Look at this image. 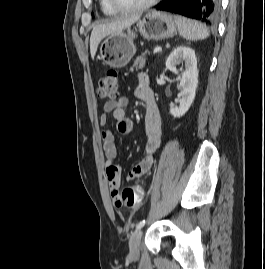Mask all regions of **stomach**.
<instances>
[{"label":"stomach","instance_id":"stomach-1","mask_svg":"<svg viewBox=\"0 0 265 269\" xmlns=\"http://www.w3.org/2000/svg\"><path fill=\"white\" fill-rule=\"evenodd\" d=\"M136 29L148 40H160L173 37L177 24L172 15L151 11L137 22ZM136 34L131 27L126 32L109 34L100 45L102 61L114 68L126 66L136 52L134 38Z\"/></svg>","mask_w":265,"mask_h":269}]
</instances>
